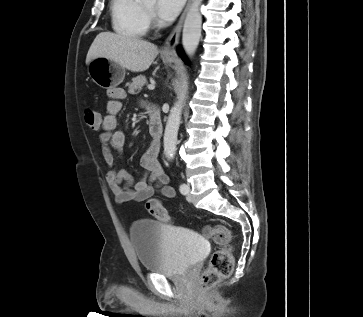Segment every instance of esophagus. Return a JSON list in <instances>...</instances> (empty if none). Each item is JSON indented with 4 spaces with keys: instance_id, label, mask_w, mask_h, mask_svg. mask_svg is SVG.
Returning a JSON list of instances; mask_svg holds the SVG:
<instances>
[{
    "instance_id": "34e87169",
    "label": "esophagus",
    "mask_w": 363,
    "mask_h": 317,
    "mask_svg": "<svg viewBox=\"0 0 363 317\" xmlns=\"http://www.w3.org/2000/svg\"><path fill=\"white\" fill-rule=\"evenodd\" d=\"M190 0H188V3L178 21L176 26L174 27L173 31L170 33L168 38L165 41V45L162 49V54L166 57H176V47L180 40L181 30L183 27V22L187 13V10L189 8Z\"/></svg>"
}]
</instances>
